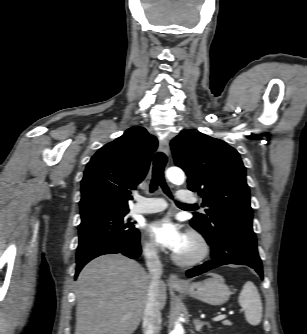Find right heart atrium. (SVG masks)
Listing matches in <instances>:
<instances>
[{"label": "right heart atrium", "instance_id": "d8ad5b80", "mask_svg": "<svg viewBox=\"0 0 307 334\" xmlns=\"http://www.w3.org/2000/svg\"><path fill=\"white\" fill-rule=\"evenodd\" d=\"M142 251L148 259H154L158 256L157 247L150 241H142Z\"/></svg>", "mask_w": 307, "mask_h": 334}]
</instances>
